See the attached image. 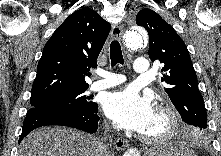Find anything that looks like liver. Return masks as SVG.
Listing matches in <instances>:
<instances>
[{"instance_id":"obj_1","label":"liver","mask_w":221,"mask_h":156,"mask_svg":"<svg viewBox=\"0 0 221 156\" xmlns=\"http://www.w3.org/2000/svg\"><path fill=\"white\" fill-rule=\"evenodd\" d=\"M95 136L65 127H42L19 145V156H105Z\"/></svg>"}]
</instances>
